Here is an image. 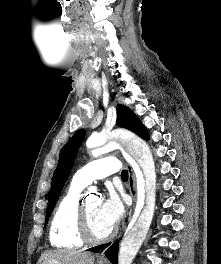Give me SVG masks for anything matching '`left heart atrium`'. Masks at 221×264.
Masks as SVG:
<instances>
[{
  "label": "left heart atrium",
  "mask_w": 221,
  "mask_h": 264,
  "mask_svg": "<svg viewBox=\"0 0 221 264\" xmlns=\"http://www.w3.org/2000/svg\"><path fill=\"white\" fill-rule=\"evenodd\" d=\"M100 213L104 220L113 228L124 213V206L119 196L111 193L104 199L100 204Z\"/></svg>",
  "instance_id": "left-heart-atrium-1"
}]
</instances>
